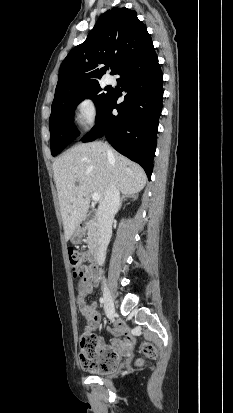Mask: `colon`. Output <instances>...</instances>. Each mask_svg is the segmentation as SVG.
<instances>
[{
    "label": "colon",
    "mask_w": 233,
    "mask_h": 413,
    "mask_svg": "<svg viewBox=\"0 0 233 413\" xmlns=\"http://www.w3.org/2000/svg\"><path fill=\"white\" fill-rule=\"evenodd\" d=\"M68 256L73 275L86 285L93 278L95 266L89 261L84 252L69 248ZM143 353L154 356L156 349L153 344L146 342L142 346ZM79 356L83 369L90 372L107 373L113 370L118 363L119 356L112 350L104 352L100 349V342L96 335L85 330L79 339Z\"/></svg>",
    "instance_id": "5ec220e1"
}]
</instances>
